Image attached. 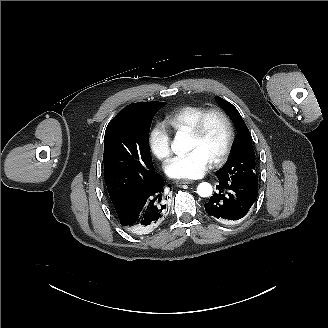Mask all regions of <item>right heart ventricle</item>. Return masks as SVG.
Segmentation results:
<instances>
[{
    "label": "right heart ventricle",
    "mask_w": 328,
    "mask_h": 328,
    "mask_svg": "<svg viewBox=\"0 0 328 328\" xmlns=\"http://www.w3.org/2000/svg\"><path fill=\"white\" fill-rule=\"evenodd\" d=\"M207 110L206 106L189 105L165 116L164 122L174 132L189 131L197 119Z\"/></svg>",
    "instance_id": "obj_1"
}]
</instances>
